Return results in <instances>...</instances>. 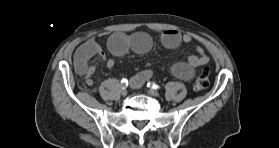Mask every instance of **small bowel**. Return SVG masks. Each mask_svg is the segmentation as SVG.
Listing matches in <instances>:
<instances>
[{
    "label": "small bowel",
    "mask_w": 279,
    "mask_h": 148,
    "mask_svg": "<svg viewBox=\"0 0 279 148\" xmlns=\"http://www.w3.org/2000/svg\"><path fill=\"white\" fill-rule=\"evenodd\" d=\"M161 42L167 48H176L182 42L191 43L192 37L189 34L182 35L179 31L174 29H168L162 32ZM108 49L112 55L120 57L125 55L129 50L138 54H143L149 51L152 45L151 37L145 32H135L133 34L114 33L107 42ZM196 54L188 56L185 62H179L171 67V73L181 79L190 80L195 75L197 67L206 65L209 62V56L206 51L200 45H195ZM95 56H99L105 59L104 52L95 39H89L80 45L74 56L75 70L79 75L85 76L88 83H92L91 77L95 71L94 65L91 63V59ZM106 66L108 69L113 70L115 68V62L113 59L106 60ZM152 71L145 69L135 74L130 79V85L132 88H140L147 80L152 77Z\"/></svg>",
    "instance_id": "obj_1"
}]
</instances>
